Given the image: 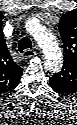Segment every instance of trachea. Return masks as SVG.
<instances>
[{"instance_id": "obj_1", "label": "trachea", "mask_w": 77, "mask_h": 125, "mask_svg": "<svg viewBox=\"0 0 77 125\" xmlns=\"http://www.w3.org/2000/svg\"><path fill=\"white\" fill-rule=\"evenodd\" d=\"M32 48V42L28 37H23L20 41H19V45H18V50L20 52H22L25 49H31Z\"/></svg>"}]
</instances>
